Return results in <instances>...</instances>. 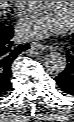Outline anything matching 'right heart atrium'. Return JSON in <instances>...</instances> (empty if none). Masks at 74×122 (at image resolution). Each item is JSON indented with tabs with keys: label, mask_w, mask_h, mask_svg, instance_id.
Masks as SVG:
<instances>
[{
	"label": "right heart atrium",
	"mask_w": 74,
	"mask_h": 122,
	"mask_svg": "<svg viewBox=\"0 0 74 122\" xmlns=\"http://www.w3.org/2000/svg\"><path fill=\"white\" fill-rule=\"evenodd\" d=\"M10 2L14 5L16 13L18 15L23 14L22 17L30 11L32 5L34 4V1H10Z\"/></svg>",
	"instance_id": "1"
}]
</instances>
